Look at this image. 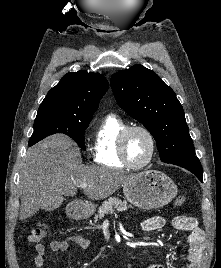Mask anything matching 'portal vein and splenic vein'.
Masks as SVG:
<instances>
[{"mask_svg":"<svg viewBox=\"0 0 221 268\" xmlns=\"http://www.w3.org/2000/svg\"><path fill=\"white\" fill-rule=\"evenodd\" d=\"M79 187L84 189V188H87L88 185H87L86 183H81V184L79 185Z\"/></svg>","mask_w":221,"mask_h":268,"instance_id":"18ae733b","label":"portal vein and splenic vein"}]
</instances>
